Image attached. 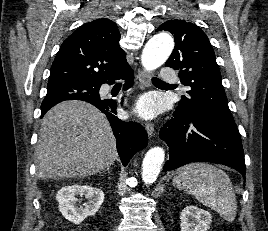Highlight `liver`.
I'll return each mask as SVG.
<instances>
[{"label": "liver", "mask_w": 268, "mask_h": 231, "mask_svg": "<svg viewBox=\"0 0 268 231\" xmlns=\"http://www.w3.org/2000/svg\"><path fill=\"white\" fill-rule=\"evenodd\" d=\"M117 158L109 121L93 105L65 101L43 117L36 148L37 178L87 177L110 167Z\"/></svg>", "instance_id": "6515ba94"}]
</instances>
